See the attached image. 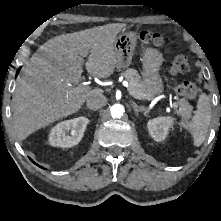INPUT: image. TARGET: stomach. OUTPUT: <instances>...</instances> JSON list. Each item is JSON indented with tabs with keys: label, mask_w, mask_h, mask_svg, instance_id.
Segmentation results:
<instances>
[{
	"label": "stomach",
	"mask_w": 221,
	"mask_h": 221,
	"mask_svg": "<svg viewBox=\"0 0 221 221\" xmlns=\"http://www.w3.org/2000/svg\"><path fill=\"white\" fill-rule=\"evenodd\" d=\"M137 34L129 29H124L115 39L114 49L116 56V67L127 68L132 62L133 52L136 46ZM143 83L148 89L150 99L163 93L164 85L159 75V69L163 63V56L160 51L147 47L142 54Z\"/></svg>",
	"instance_id": "0dacf381"
}]
</instances>
